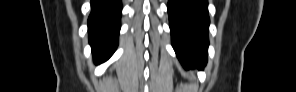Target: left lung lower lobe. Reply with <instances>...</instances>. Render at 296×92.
Instances as JSON below:
<instances>
[{"label":"left lung lower lobe","instance_id":"1","mask_svg":"<svg viewBox=\"0 0 296 92\" xmlns=\"http://www.w3.org/2000/svg\"><path fill=\"white\" fill-rule=\"evenodd\" d=\"M172 45L186 68H203L208 50V1L168 0Z\"/></svg>","mask_w":296,"mask_h":92}]
</instances>
